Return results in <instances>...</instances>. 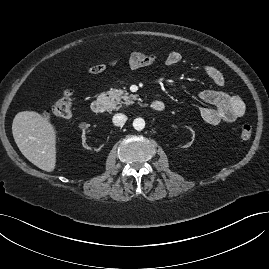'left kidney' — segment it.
Returning <instances> with one entry per match:
<instances>
[{
	"label": "left kidney",
	"mask_w": 269,
	"mask_h": 269,
	"mask_svg": "<svg viewBox=\"0 0 269 269\" xmlns=\"http://www.w3.org/2000/svg\"><path fill=\"white\" fill-rule=\"evenodd\" d=\"M187 128H188L189 131H190V133H188V135L191 136L192 141L189 142V143L186 144V145L181 146V147H183V148H187V147H189V146L192 144V142L194 141V137H195V132H194L190 127H187Z\"/></svg>",
	"instance_id": "5707ae66"
}]
</instances>
